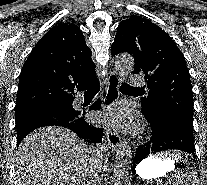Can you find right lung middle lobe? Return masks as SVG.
Segmentation results:
<instances>
[{
    "label": "right lung middle lobe",
    "mask_w": 207,
    "mask_h": 185,
    "mask_svg": "<svg viewBox=\"0 0 207 185\" xmlns=\"http://www.w3.org/2000/svg\"><path fill=\"white\" fill-rule=\"evenodd\" d=\"M65 113H72V114L64 118L63 114ZM52 115H57L66 120H71L78 117V114H76V111L72 107L71 103H60V104H52V105L32 108L28 110L16 111L15 121L16 124H19L23 121L32 118L42 117V116H52Z\"/></svg>",
    "instance_id": "dd1d6c3e"
}]
</instances>
